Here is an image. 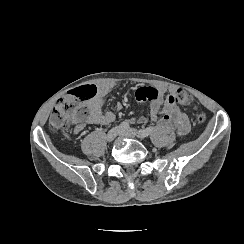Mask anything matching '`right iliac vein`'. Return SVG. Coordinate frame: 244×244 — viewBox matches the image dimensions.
<instances>
[{
  "label": "right iliac vein",
  "mask_w": 244,
  "mask_h": 244,
  "mask_svg": "<svg viewBox=\"0 0 244 244\" xmlns=\"http://www.w3.org/2000/svg\"><path fill=\"white\" fill-rule=\"evenodd\" d=\"M121 128L119 126H116V127H113L108 133H107V136H106V140L108 142H111L113 141L121 132Z\"/></svg>",
  "instance_id": "1"
}]
</instances>
